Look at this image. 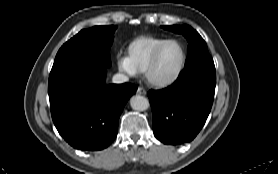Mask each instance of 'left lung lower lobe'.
Wrapping results in <instances>:
<instances>
[{
	"label": "left lung lower lobe",
	"mask_w": 278,
	"mask_h": 174,
	"mask_svg": "<svg viewBox=\"0 0 278 174\" xmlns=\"http://www.w3.org/2000/svg\"><path fill=\"white\" fill-rule=\"evenodd\" d=\"M215 86L216 75L197 72L179 76L165 89L150 90L155 137L172 145L193 140L210 113Z\"/></svg>",
	"instance_id": "1"
}]
</instances>
